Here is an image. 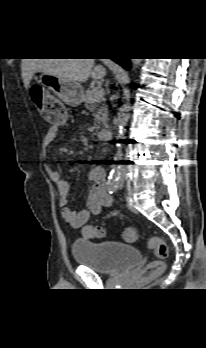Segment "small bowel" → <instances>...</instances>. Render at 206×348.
I'll use <instances>...</instances> for the list:
<instances>
[{
    "label": "small bowel",
    "mask_w": 206,
    "mask_h": 348,
    "mask_svg": "<svg viewBox=\"0 0 206 348\" xmlns=\"http://www.w3.org/2000/svg\"><path fill=\"white\" fill-rule=\"evenodd\" d=\"M57 133L58 128L50 127L44 135L42 146L45 154L48 148L55 142ZM46 169L51 180L57 186L59 202L63 207L62 216L72 226L81 227L85 225L91 215L98 214L112 205V198L106 189L105 172L101 166L94 165L90 168L87 179L92 183V188L87 195L86 209L78 212L67 207L70 191L68 182L63 180L60 173L51 165H47Z\"/></svg>",
    "instance_id": "c3829d8e"
}]
</instances>
